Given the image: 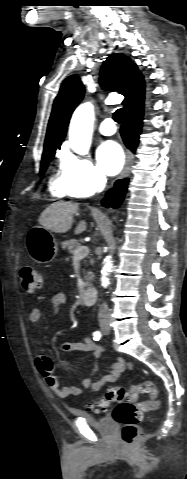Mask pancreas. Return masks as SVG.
<instances>
[{"label":"pancreas","mask_w":187,"mask_h":479,"mask_svg":"<svg viewBox=\"0 0 187 479\" xmlns=\"http://www.w3.org/2000/svg\"><path fill=\"white\" fill-rule=\"evenodd\" d=\"M61 245L63 250H68V252L72 255H74L75 250L81 246V244L76 239H69V240L63 241ZM92 279H93L92 273L87 272V274L85 275L84 286L85 287L90 286Z\"/></svg>","instance_id":"pancreas-1"}]
</instances>
